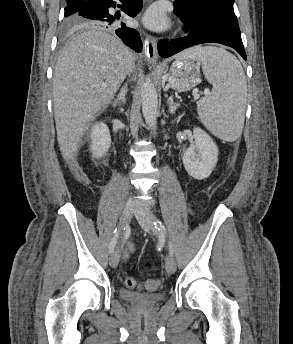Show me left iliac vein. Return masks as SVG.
Wrapping results in <instances>:
<instances>
[{
    "label": "left iliac vein",
    "mask_w": 293,
    "mask_h": 344,
    "mask_svg": "<svg viewBox=\"0 0 293 344\" xmlns=\"http://www.w3.org/2000/svg\"><path fill=\"white\" fill-rule=\"evenodd\" d=\"M134 214L144 231L152 235L158 233L156 227L154 226L156 217L150 210L139 208L134 211ZM165 269L169 274H174L176 271V263L171 254H168L166 257Z\"/></svg>",
    "instance_id": "obj_1"
}]
</instances>
